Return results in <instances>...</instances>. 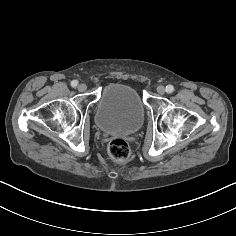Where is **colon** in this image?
Returning a JSON list of instances; mask_svg holds the SVG:
<instances>
[{
    "label": "colon",
    "mask_w": 236,
    "mask_h": 236,
    "mask_svg": "<svg viewBox=\"0 0 236 236\" xmlns=\"http://www.w3.org/2000/svg\"><path fill=\"white\" fill-rule=\"evenodd\" d=\"M108 153L113 160L124 162L130 157V148L125 140L115 138L108 145Z\"/></svg>",
    "instance_id": "obj_1"
}]
</instances>
